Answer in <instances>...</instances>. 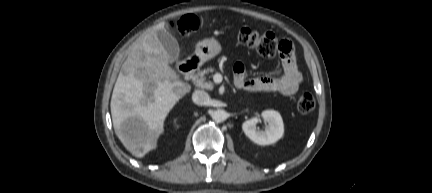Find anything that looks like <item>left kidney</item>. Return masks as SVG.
Here are the masks:
<instances>
[{
  "instance_id": "left-kidney-1",
  "label": "left kidney",
  "mask_w": 432,
  "mask_h": 193,
  "mask_svg": "<svg viewBox=\"0 0 432 193\" xmlns=\"http://www.w3.org/2000/svg\"><path fill=\"white\" fill-rule=\"evenodd\" d=\"M261 116L268 123L267 128L264 131L256 130L258 118L254 117L242 124L245 135L259 145H270L277 142L284 133V124L280 113L275 110H265Z\"/></svg>"
}]
</instances>
